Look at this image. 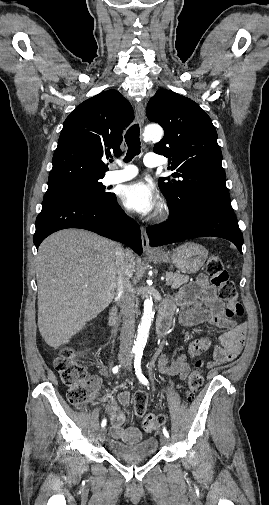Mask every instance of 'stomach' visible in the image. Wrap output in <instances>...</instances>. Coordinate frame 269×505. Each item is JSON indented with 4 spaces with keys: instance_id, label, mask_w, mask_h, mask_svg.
I'll return each instance as SVG.
<instances>
[{
    "instance_id": "obj_1",
    "label": "stomach",
    "mask_w": 269,
    "mask_h": 505,
    "mask_svg": "<svg viewBox=\"0 0 269 505\" xmlns=\"http://www.w3.org/2000/svg\"><path fill=\"white\" fill-rule=\"evenodd\" d=\"M150 258L157 263L171 261L181 272L191 274L204 265L208 258V250L200 244L187 242L171 253L159 250L156 254L150 255Z\"/></svg>"
}]
</instances>
